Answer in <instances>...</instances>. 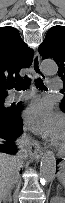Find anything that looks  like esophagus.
Masks as SVG:
<instances>
[{"label":"esophagus","mask_w":65,"mask_h":203,"mask_svg":"<svg viewBox=\"0 0 65 203\" xmlns=\"http://www.w3.org/2000/svg\"><path fill=\"white\" fill-rule=\"evenodd\" d=\"M32 68L36 77L46 79V75L42 73L40 69V56L38 53L35 54L33 59ZM30 155L35 159L39 160L43 155V148L37 141H33L30 146Z\"/></svg>","instance_id":"esophagus-1"}]
</instances>
